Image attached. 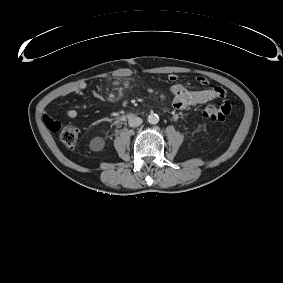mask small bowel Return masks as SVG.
Returning a JSON list of instances; mask_svg holds the SVG:
<instances>
[{
  "label": "small bowel",
  "mask_w": 283,
  "mask_h": 283,
  "mask_svg": "<svg viewBox=\"0 0 283 283\" xmlns=\"http://www.w3.org/2000/svg\"><path fill=\"white\" fill-rule=\"evenodd\" d=\"M196 80L204 87L209 85V80L203 76L197 77ZM167 82L171 84L169 93L173 98L172 103L176 110L189 111L200 104L207 103L214 99H224L226 97V91L219 86L191 91L187 89L185 85L179 83L178 77L174 74L167 76ZM86 88L87 84L85 82H81L73 89L72 92L75 94H82ZM64 115L69 119H75L78 116V112L71 108L68 109ZM45 117L48 127L56 128L57 122L48 116Z\"/></svg>",
  "instance_id": "1"
}]
</instances>
